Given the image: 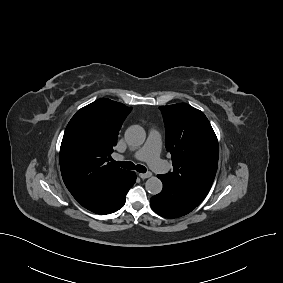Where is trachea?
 Returning <instances> with one entry per match:
<instances>
[{"mask_svg": "<svg viewBox=\"0 0 283 283\" xmlns=\"http://www.w3.org/2000/svg\"><path fill=\"white\" fill-rule=\"evenodd\" d=\"M114 164L120 166L121 168H124V169H129V170H136L140 173H145L146 172V168L143 166V165H135L134 163L130 162V161H122V162H116V161H113Z\"/></svg>", "mask_w": 283, "mask_h": 283, "instance_id": "obj_1", "label": "trachea"}]
</instances>
